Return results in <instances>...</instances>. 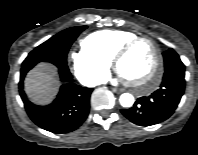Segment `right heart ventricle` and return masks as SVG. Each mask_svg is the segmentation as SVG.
Listing matches in <instances>:
<instances>
[{"mask_svg": "<svg viewBox=\"0 0 198 155\" xmlns=\"http://www.w3.org/2000/svg\"><path fill=\"white\" fill-rule=\"evenodd\" d=\"M137 36L136 33L126 30H100L85 37L82 45L110 62L120 46Z\"/></svg>", "mask_w": 198, "mask_h": 155, "instance_id": "right-heart-ventricle-1", "label": "right heart ventricle"}]
</instances>
